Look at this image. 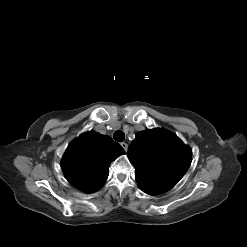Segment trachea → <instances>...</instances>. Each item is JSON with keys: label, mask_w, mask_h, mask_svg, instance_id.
Returning <instances> with one entry per match:
<instances>
[{"label": "trachea", "mask_w": 247, "mask_h": 247, "mask_svg": "<svg viewBox=\"0 0 247 247\" xmlns=\"http://www.w3.org/2000/svg\"><path fill=\"white\" fill-rule=\"evenodd\" d=\"M113 138L114 140L118 141V142H123L125 139V134L123 131L118 130L113 134Z\"/></svg>", "instance_id": "3493384b"}]
</instances>
